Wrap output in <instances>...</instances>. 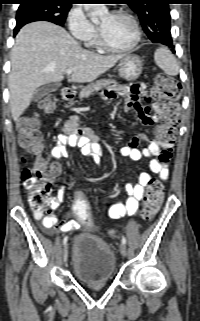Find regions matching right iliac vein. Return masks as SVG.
Here are the masks:
<instances>
[{
	"label": "right iliac vein",
	"instance_id": "obj_1",
	"mask_svg": "<svg viewBox=\"0 0 200 321\" xmlns=\"http://www.w3.org/2000/svg\"><path fill=\"white\" fill-rule=\"evenodd\" d=\"M62 254H63V260L65 262L68 257V245L67 244L64 246Z\"/></svg>",
	"mask_w": 200,
	"mask_h": 321
}]
</instances>
